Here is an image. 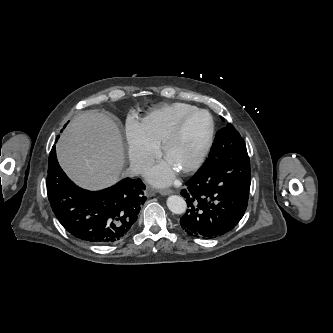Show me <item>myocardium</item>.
Listing matches in <instances>:
<instances>
[{
	"label": "myocardium",
	"instance_id": "1",
	"mask_svg": "<svg viewBox=\"0 0 333 333\" xmlns=\"http://www.w3.org/2000/svg\"><path fill=\"white\" fill-rule=\"evenodd\" d=\"M199 113H204L208 116L209 129L204 138L202 146H201L198 154L194 158V160L191 163H189L188 165H186L185 167L177 170L178 173L183 174V175L189 174V173L195 171L196 169H198L204 162L207 154L209 153V150H210L212 142H213L214 133H215V121H214L212 114L208 110L202 109V108H195V109L187 112L178 120V122L176 123V125L171 130V132L168 134V136L166 137V139L164 140V142L162 144V155L165 159H167V156H168L170 150L172 149V147L180 140L187 121L192 116L199 114Z\"/></svg>",
	"mask_w": 333,
	"mask_h": 333
}]
</instances>
